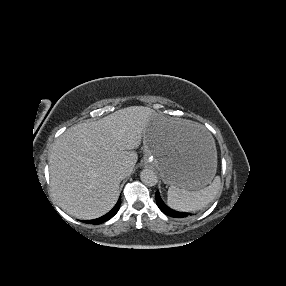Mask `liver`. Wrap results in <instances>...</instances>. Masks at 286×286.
I'll list each match as a JSON object with an SVG mask.
<instances>
[{
    "label": "liver",
    "instance_id": "liver-1",
    "mask_svg": "<svg viewBox=\"0 0 286 286\" xmlns=\"http://www.w3.org/2000/svg\"><path fill=\"white\" fill-rule=\"evenodd\" d=\"M152 118L166 121L176 139H194L204 128L192 121L165 118L149 107L131 106L95 122L67 129L49 155L50 186L57 205L79 219L106 214L118 200L123 178L114 173L122 165L130 175L136 149Z\"/></svg>",
    "mask_w": 286,
    "mask_h": 286
}]
</instances>
